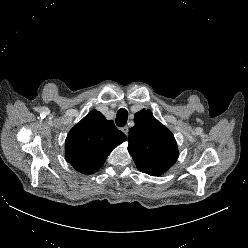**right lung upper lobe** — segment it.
Wrapping results in <instances>:
<instances>
[{
  "mask_svg": "<svg viewBox=\"0 0 248 248\" xmlns=\"http://www.w3.org/2000/svg\"><path fill=\"white\" fill-rule=\"evenodd\" d=\"M126 140L112 120L92 110L68 133L65 158L78 172L92 174L99 170L112 149Z\"/></svg>",
  "mask_w": 248,
  "mask_h": 248,
  "instance_id": "obj_1",
  "label": "right lung upper lobe"
}]
</instances>
